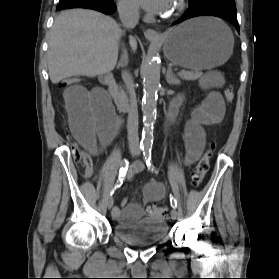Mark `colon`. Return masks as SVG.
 Masks as SVG:
<instances>
[{
    "label": "colon",
    "mask_w": 279,
    "mask_h": 279,
    "mask_svg": "<svg viewBox=\"0 0 279 279\" xmlns=\"http://www.w3.org/2000/svg\"><path fill=\"white\" fill-rule=\"evenodd\" d=\"M81 81H82L81 77H69L62 80L59 83V85L63 88H66V87L75 86L79 84ZM224 96L227 102H231L234 99L235 93L232 85H228L226 87ZM214 147H215V143L213 141L210 142L205 152L196 163L191 175V181L194 187L200 186L201 183L203 182V179L209 170V163L213 154ZM73 156H74V161L78 167L88 168L92 166L91 157L86 151L82 150L81 148H78L76 146L73 147ZM147 213L149 216L154 217L156 219H165L168 217V210L164 207H160L157 205H149L147 207Z\"/></svg>",
    "instance_id": "obj_1"
}]
</instances>
